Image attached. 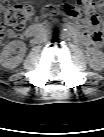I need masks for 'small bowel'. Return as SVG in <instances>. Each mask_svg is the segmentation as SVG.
<instances>
[{"label":"small bowel","instance_id":"small-bowel-1","mask_svg":"<svg viewBox=\"0 0 104 137\" xmlns=\"http://www.w3.org/2000/svg\"><path fill=\"white\" fill-rule=\"evenodd\" d=\"M81 41H82V43L84 45H91V44H93V40L90 37H88V35H84V38L81 39Z\"/></svg>","mask_w":104,"mask_h":137}]
</instances>
